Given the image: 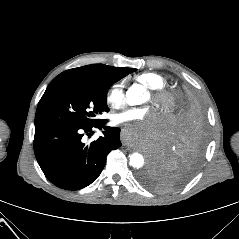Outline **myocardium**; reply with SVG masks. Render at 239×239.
Wrapping results in <instances>:
<instances>
[{
    "mask_svg": "<svg viewBox=\"0 0 239 239\" xmlns=\"http://www.w3.org/2000/svg\"><path fill=\"white\" fill-rule=\"evenodd\" d=\"M150 96L154 106L163 114H170L176 106L175 95L165 89L151 90Z\"/></svg>",
    "mask_w": 239,
    "mask_h": 239,
    "instance_id": "1",
    "label": "myocardium"
}]
</instances>
